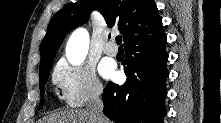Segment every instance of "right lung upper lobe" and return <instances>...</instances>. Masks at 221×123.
<instances>
[{
  "instance_id": "cb5924a9",
  "label": "right lung upper lobe",
  "mask_w": 221,
  "mask_h": 123,
  "mask_svg": "<svg viewBox=\"0 0 221 123\" xmlns=\"http://www.w3.org/2000/svg\"><path fill=\"white\" fill-rule=\"evenodd\" d=\"M95 9L104 16L110 28H118L125 48L134 41L163 31L153 0H79L58 11L51 19L41 45L40 70L53 62L65 35L85 23Z\"/></svg>"
}]
</instances>
